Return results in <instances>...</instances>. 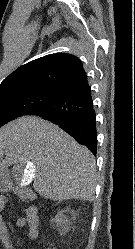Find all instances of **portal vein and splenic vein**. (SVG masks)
Here are the masks:
<instances>
[{"instance_id":"1","label":"portal vein and splenic vein","mask_w":135,"mask_h":249,"mask_svg":"<svg viewBox=\"0 0 135 249\" xmlns=\"http://www.w3.org/2000/svg\"><path fill=\"white\" fill-rule=\"evenodd\" d=\"M35 175V166L32 163L27 165V176L33 178Z\"/></svg>"}]
</instances>
